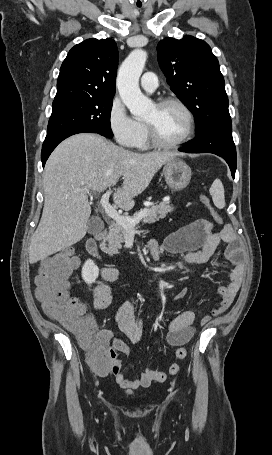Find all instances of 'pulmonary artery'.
I'll return each mask as SVG.
<instances>
[{
    "instance_id": "obj_1",
    "label": "pulmonary artery",
    "mask_w": 272,
    "mask_h": 455,
    "mask_svg": "<svg viewBox=\"0 0 272 455\" xmlns=\"http://www.w3.org/2000/svg\"><path fill=\"white\" fill-rule=\"evenodd\" d=\"M140 84L145 91L153 92L158 87L157 76L153 72H146L142 75Z\"/></svg>"
}]
</instances>
